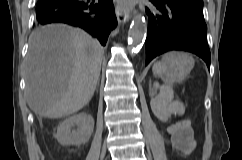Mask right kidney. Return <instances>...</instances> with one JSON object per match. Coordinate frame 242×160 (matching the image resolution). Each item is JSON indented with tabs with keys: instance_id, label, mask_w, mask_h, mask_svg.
I'll return each instance as SVG.
<instances>
[{
	"instance_id": "1",
	"label": "right kidney",
	"mask_w": 242,
	"mask_h": 160,
	"mask_svg": "<svg viewBox=\"0 0 242 160\" xmlns=\"http://www.w3.org/2000/svg\"><path fill=\"white\" fill-rule=\"evenodd\" d=\"M75 126L77 129L71 130ZM93 129V117L87 113H79L58 125L55 138L61 145H81L89 141Z\"/></svg>"
}]
</instances>
